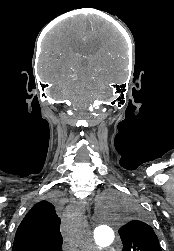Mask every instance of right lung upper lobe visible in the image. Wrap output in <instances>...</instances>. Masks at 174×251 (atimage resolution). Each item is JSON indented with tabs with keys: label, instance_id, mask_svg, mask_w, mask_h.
Returning a JSON list of instances; mask_svg holds the SVG:
<instances>
[{
	"label": "right lung upper lobe",
	"instance_id": "1",
	"mask_svg": "<svg viewBox=\"0 0 174 251\" xmlns=\"http://www.w3.org/2000/svg\"><path fill=\"white\" fill-rule=\"evenodd\" d=\"M59 209L48 201L35 204L16 231L12 251H62Z\"/></svg>",
	"mask_w": 174,
	"mask_h": 251
}]
</instances>
